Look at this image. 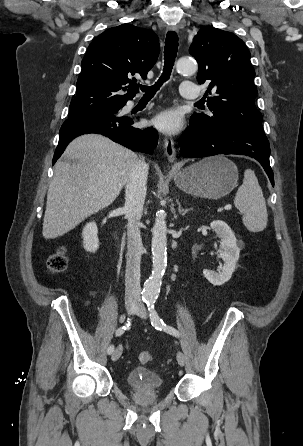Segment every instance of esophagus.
Here are the masks:
<instances>
[{
    "label": "esophagus",
    "instance_id": "34e87169",
    "mask_svg": "<svg viewBox=\"0 0 303 446\" xmlns=\"http://www.w3.org/2000/svg\"><path fill=\"white\" fill-rule=\"evenodd\" d=\"M169 30L178 32L179 28L178 26H170ZM164 149H165V155L170 163H174L176 160V151L174 146V141L172 139L165 138L164 139Z\"/></svg>",
    "mask_w": 303,
    "mask_h": 446
}]
</instances>
